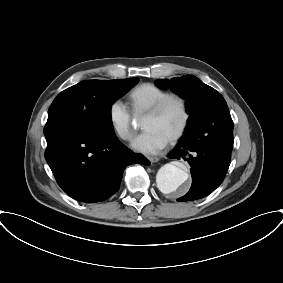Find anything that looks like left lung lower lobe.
<instances>
[{"mask_svg": "<svg viewBox=\"0 0 283 283\" xmlns=\"http://www.w3.org/2000/svg\"><path fill=\"white\" fill-rule=\"evenodd\" d=\"M199 127L186 128L169 158L184 159L190 166L192 185L189 192L178 201H191L209 195L223 182L230 165L231 151L207 146Z\"/></svg>", "mask_w": 283, "mask_h": 283, "instance_id": "0a47b994", "label": "left lung lower lobe"}]
</instances>
